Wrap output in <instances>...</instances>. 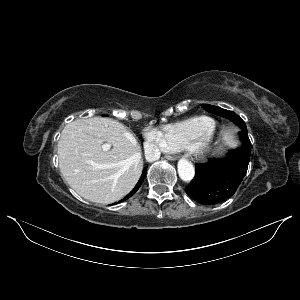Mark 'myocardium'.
Masks as SVG:
<instances>
[{
    "label": "myocardium",
    "mask_w": 300,
    "mask_h": 300,
    "mask_svg": "<svg viewBox=\"0 0 300 300\" xmlns=\"http://www.w3.org/2000/svg\"><path fill=\"white\" fill-rule=\"evenodd\" d=\"M214 141L215 130L198 140L193 146L192 150L199 158H206L213 150Z\"/></svg>",
    "instance_id": "obj_1"
}]
</instances>
